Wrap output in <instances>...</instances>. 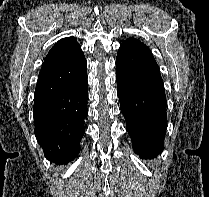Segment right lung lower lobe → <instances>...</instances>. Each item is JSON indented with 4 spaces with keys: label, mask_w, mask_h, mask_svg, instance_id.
<instances>
[{
    "label": "right lung lower lobe",
    "mask_w": 209,
    "mask_h": 197,
    "mask_svg": "<svg viewBox=\"0 0 209 197\" xmlns=\"http://www.w3.org/2000/svg\"><path fill=\"white\" fill-rule=\"evenodd\" d=\"M86 72V59L80 50L59 68L38 77L34 132L50 161L63 164L80 152L87 112Z\"/></svg>",
    "instance_id": "98d812e1"
}]
</instances>
